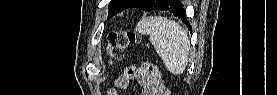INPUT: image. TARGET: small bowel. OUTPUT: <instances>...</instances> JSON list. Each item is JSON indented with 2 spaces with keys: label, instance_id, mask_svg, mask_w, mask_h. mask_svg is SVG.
Masks as SVG:
<instances>
[{
  "label": "small bowel",
  "instance_id": "small-bowel-1",
  "mask_svg": "<svg viewBox=\"0 0 277 95\" xmlns=\"http://www.w3.org/2000/svg\"><path fill=\"white\" fill-rule=\"evenodd\" d=\"M154 67L145 63L141 67L131 66L125 69L124 75L117 78L115 84L122 90L130 87L131 79L137 78L143 85L142 95H166V88L156 81L153 75ZM107 94H119L117 91L109 90Z\"/></svg>",
  "mask_w": 277,
  "mask_h": 95
}]
</instances>
